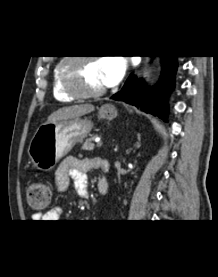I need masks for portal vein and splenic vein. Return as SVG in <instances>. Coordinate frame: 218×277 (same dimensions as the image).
<instances>
[{
    "mask_svg": "<svg viewBox=\"0 0 218 277\" xmlns=\"http://www.w3.org/2000/svg\"><path fill=\"white\" fill-rule=\"evenodd\" d=\"M95 141L97 143V147H101L102 146V142H101V140L99 138L96 139Z\"/></svg>",
    "mask_w": 218,
    "mask_h": 277,
    "instance_id": "obj_1",
    "label": "portal vein and splenic vein"
}]
</instances>
